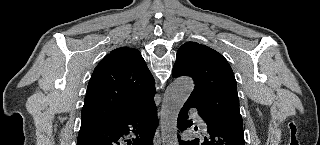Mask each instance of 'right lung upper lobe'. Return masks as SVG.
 Returning <instances> with one entry per match:
<instances>
[{"mask_svg": "<svg viewBox=\"0 0 320 145\" xmlns=\"http://www.w3.org/2000/svg\"><path fill=\"white\" fill-rule=\"evenodd\" d=\"M155 81L140 51L120 47L94 69L81 113V126L127 118L155 95Z\"/></svg>", "mask_w": 320, "mask_h": 145, "instance_id": "obj_1", "label": "right lung upper lobe"}]
</instances>
